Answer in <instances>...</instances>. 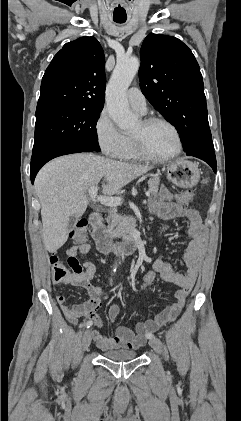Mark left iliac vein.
I'll use <instances>...</instances> for the list:
<instances>
[{"instance_id": "obj_1", "label": "left iliac vein", "mask_w": 241, "mask_h": 421, "mask_svg": "<svg viewBox=\"0 0 241 421\" xmlns=\"http://www.w3.org/2000/svg\"><path fill=\"white\" fill-rule=\"evenodd\" d=\"M149 344L155 352H157L158 354L162 353V343L158 338H156V337L152 338L149 341Z\"/></svg>"}]
</instances>
